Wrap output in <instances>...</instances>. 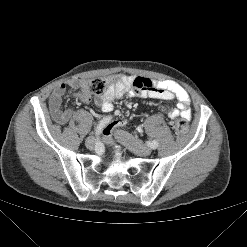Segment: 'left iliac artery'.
<instances>
[{"label":"left iliac artery","instance_id":"left-iliac-artery-1","mask_svg":"<svg viewBox=\"0 0 247 247\" xmlns=\"http://www.w3.org/2000/svg\"><path fill=\"white\" fill-rule=\"evenodd\" d=\"M150 147L152 149H156L158 147V142L156 140H153L151 143H150Z\"/></svg>","mask_w":247,"mask_h":247}]
</instances>
